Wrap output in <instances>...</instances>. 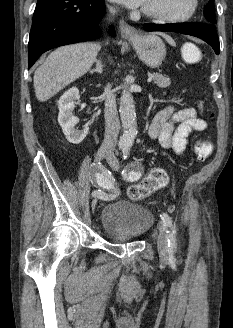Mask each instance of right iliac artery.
I'll list each match as a JSON object with an SVG mask.
<instances>
[{"label": "right iliac artery", "mask_w": 233, "mask_h": 328, "mask_svg": "<svg viewBox=\"0 0 233 328\" xmlns=\"http://www.w3.org/2000/svg\"><path fill=\"white\" fill-rule=\"evenodd\" d=\"M95 168L101 170V172L96 173V178L94 183L99 186V189L92 193L93 197L100 198L102 200H111L118 195L117 186L105 169L102 168L100 163L94 164Z\"/></svg>", "instance_id": "1"}]
</instances>
